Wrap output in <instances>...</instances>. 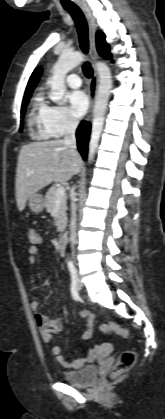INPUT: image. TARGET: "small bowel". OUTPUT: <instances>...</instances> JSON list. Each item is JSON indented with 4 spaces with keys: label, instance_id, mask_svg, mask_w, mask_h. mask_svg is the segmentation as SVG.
<instances>
[{
    "label": "small bowel",
    "instance_id": "1",
    "mask_svg": "<svg viewBox=\"0 0 165 419\" xmlns=\"http://www.w3.org/2000/svg\"><path fill=\"white\" fill-rule=\"evenodd\" d=\"M40 242H41V239L39 237V241L29 247L28 263L31 265L35 264L37 261V256L39 254L38 244ZM30 306L35 313V319L40 329V335H41L42 341L47 345L52 344L54 340L53 338L54 333L61 330L62 328V321L58 318H50L47 315L42 314L39 311V303L37 301H32ZM79 314L83 317H86L87 322H88V327L83 332L82 337L84 339H89L92 335L94 316L92 313H90L87 310H81ZM100 350H101V346L97 345L94 348L90 349L83 357L78 358V359H70L64 356L59 346H53L51 349V352L53 356L56 358L57 362L63 367L67 369H80L84 367L85 365H87L88 363L92 362L98 356Z\"/></svg>",
    "mask_w": 165,
    "mask_h": 419
}]
</instances>
